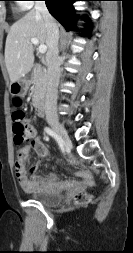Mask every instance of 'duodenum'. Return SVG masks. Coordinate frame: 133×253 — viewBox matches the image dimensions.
Listing matches in <instances>:
<instances>
[{"label":"duodenum","mask_w":133,"mask_h":253,"mask_svg":"<svg viewBox=\"0 0 133 253\" xmlns=\"http://www.w3.org/2000/svg\"><path fill=\"white\" fill-rule=\"evenodd\" d=\"M28 73L23 75V81L26 82L28 80ZM38 92H41V89H38ZM35 111L38 116H44L46 112V102L44 99H38L35 102Z\"/></svg>","instance_id":"duodenum-1"}]
</instances>
